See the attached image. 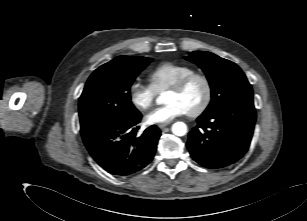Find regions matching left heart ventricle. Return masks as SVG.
Segmentation results:
<instances>
[{
    "mask_svg": "<svg viewBox=\"0 0 307 221\" xmlns=\"http://www.w3.org/2000/svg\"><path fill=\"white\" fill-rule=\"evenodd\" d=\"M205 88L200 80H194L186 89L181 92L168 91L166 102L180 103L186 112L196 109L204 99Z\"/></svg>",
    "mask_w": 307,
    "mask_h": 221,
    "instance_id": "obj_1",
    "label": "left heart ventricle"
}]
</instances>
